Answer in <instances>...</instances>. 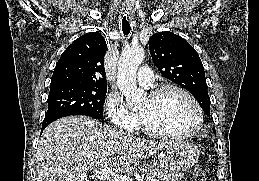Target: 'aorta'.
Segmentation results:
<instances>
[{"label":"aorta","mask_w":259,"mask_h":181,"mask_svg":"<svg viewBox=\"0 0 259 181\" xmlns=\"http://www.w3.org/2000/svg\"><path fill=\"white\" fill-rule=\"evenodd\" d=\"M145 57L143 48L129 47L123 50L118 62L117 85L130 109L141 107L146 93L136 85V72Z\"/></svg>","instance_id":"obj_1"}]
</instances>
